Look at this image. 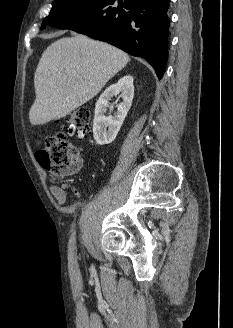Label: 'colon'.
I'll return each instance as SVG.
<instances>
[{"instance_id": "obj_1", "label": "colon", "mask_w": 233, "mask_h": 328, "mask_svg": "<svg viewBox=\"0 0 233 328\" xmlns=\"http://www.w3.org/2000/svg\"><path fill=\"white\" fill-rule=\"evenodd\" d=\"M90 111L79 108L66 118V131L74 134L79 140L86 139L90 128ZM38 163L53 176L74 173L81 165L82 150L71 143L66 134L57 132L49 136L43 149L37 151Z\"/></svg>"}]
</instances>
